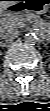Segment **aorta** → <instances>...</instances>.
Listing matches in <instances>:
<instances>
[{
  "instance_id": "aorta-1",
  "label": "aorta",
  "mask_w": 50,
  "mask_h": 111,
  "mask_svg": "<svg viewBox=\"0 0 50 111\" xmlns=\"http://www.w3.org/2000/svg\"><path fill=\"white\" fill-rule=\"evenodd\" d=\"M24 41L27 43V44H36L37 41H38V37L35 33H28L25 35L24 37Z\"/></svg>"
}]
</instances>
